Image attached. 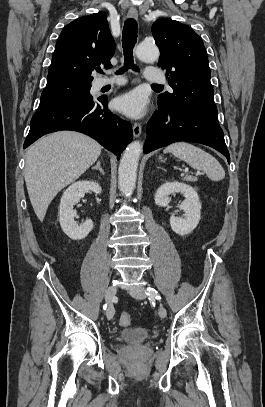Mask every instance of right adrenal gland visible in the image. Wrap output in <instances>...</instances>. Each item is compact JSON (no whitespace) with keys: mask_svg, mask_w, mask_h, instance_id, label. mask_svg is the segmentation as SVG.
Returning a JSON list of instances; mask_svg holds the SVG:
<instances>
[{"mask_svg":"<svg viewBox=\"0 0 265 407\" xmlns=\"http://www.w3.org/2000/svg\"><path fill=\"white\" fill-rule=\"evenodd\" d=\"M92 169L93 170H99L104 175V171H103V169L101 167V162L100 161H98L96 166L92 167Z\"/></svg>","mask_w":265,"mask_h":407,"instance_id":"1","label":"right adrenal gland"}]
</instances>
